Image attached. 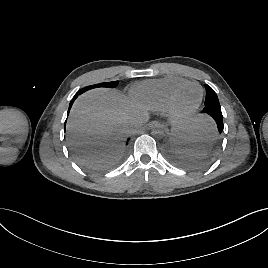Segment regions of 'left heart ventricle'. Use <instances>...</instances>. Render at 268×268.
Masks as SVG:
<instances>
[{"label":"left heart ventricle","mask_w":268,"mask_h":268,"mask_svg":"<svg viewBox=\"0 0 268 268\" xmlns=\"http://www.w3.org/2000/svg\"><path fill=\"white\" fill-rule=\"evenodd\" d=\"M199 97L200 91L198 87H188L178 96L176 105L180 110H188L198 102Z\"/></svg>","instance_id":"b2bd125f"}]
</instances>
